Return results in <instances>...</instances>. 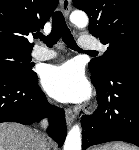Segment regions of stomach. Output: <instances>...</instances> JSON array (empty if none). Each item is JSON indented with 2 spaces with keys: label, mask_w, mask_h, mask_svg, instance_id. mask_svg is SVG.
<instances>
[{
  "label": "stomach",
  "mask_w": 139,
  "mask_h": 150,
  "mask_svg": "<svg viewBox=\"0 0 139 150\" xmlns=\"http://www.w3.org/2000/svg\"><path fill=\"white\" fill-rule=\"evenodd\" d=\"M93 150H109V147L108 146H101L98 148H94Z\"/></svg>",
  "instance_id": "obj_1"
}]
</instances>
